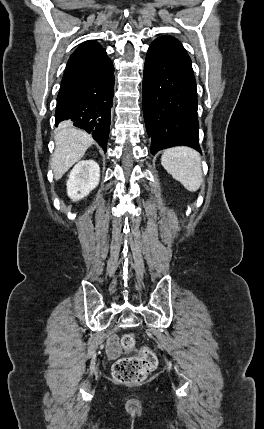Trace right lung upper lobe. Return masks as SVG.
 I'll list each match as a JSON object with an SVG mask.
<instances>
[{"label": "right lung upper lobe", "mask_w": 264, "mask_h": 429, "mask_svg": "<svg viewBox=\"0 0 264 429\" xmlns=\"http://www.w3.org/2000/svg\"><path fill=\"white\" fill-rule=\"evenodd\" d=\"M103 50L100 44L96 43L95 40H88L84 43H82L71 55L70 59L68 60L67 67H70L90 56L95 55L96 53Z\"/></svg>", "instance_id": "obj_1"}]
</instances>
